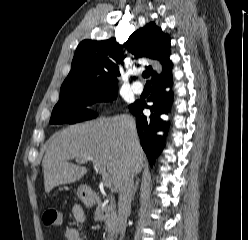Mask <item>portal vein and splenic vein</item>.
Masks as SVG:
<instances>
[{"label":"portal vein and splenic vein","mask_w":248,"mask_h":240,"mask_svg":"<svg viewBox=\"0 0 248 240\" xmlns=\"http://www.w3.org/2000/svg\"><path fill=\"white\" fill-rule=\"evenodd\" d=\"M93 163L95 167L98 169V171L100 172V174L102 175V180H103L104 185L106 187H110L113 179H112V176L106 172L105 166L96 161H93Z\"/></svg>","instance_id":"1"}]
</instances>
